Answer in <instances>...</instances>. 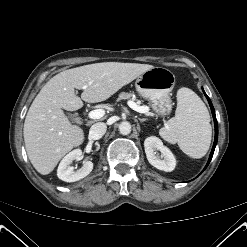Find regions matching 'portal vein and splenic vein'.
Listing matches in <instances>:
<instances>
[{"label":"portal vein and splenic vein","instance_id":"18ae733b","mask_svg":"<svg viewBox=\"0 0 247 247\" xmlns=\"http://www.w3.org/2000/svg\"><path fill=\"white\" fill-rule=\"evenodd\" d=\"M127 104L130 108H132L133 110H135L139 113H145L146 112V107L139 106L133 101H128ZM104 114H105V111L103 109H96V110L90 111L88 116L90 119H99V118L103 117Z\"/></svg>","mask_w":247,"mask_h":247}]
</instances>
